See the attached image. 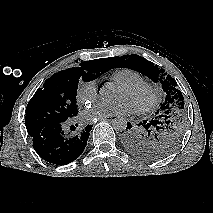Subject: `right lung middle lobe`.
Wrapping results in <instances>:
<instances>
[{
    "instance_id": "dd1d6c3e",
    "label": "right lung middle lobe",
    "mask_w": 213,
    "mask_h": 213,
    "mask_svg": "<svg viewBox=\"0 0 213 213\" xmlns=\"http://www.w3.org/2000/svg\"><path fill=\"white\" fill-rule=\"evenodd\" d=\"M110 68L85 61L48 78L26 108L25 124L31 136L47 125L66 122L78 114L76 95L79 80L89 82Z\"/></svg>"
}]
</instances>
